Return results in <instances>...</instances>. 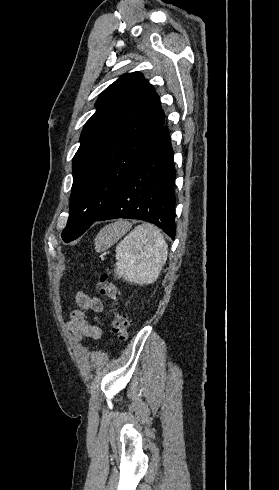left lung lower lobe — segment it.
I'll list each match as a JSON object with an SVG mask.
<instances>
[{
	"instance_id": "obj_1",
	"label": "left lung lower lobe",
	"mask_w": 279,
	"mask_h": 490,
	"mask_svg": "<svg viewBox=\"0 0 279 490\" xmlns=\"http://www.w3.org/2000/svg\"><path fill=\"white\" fill-rule=\"evenodd\" d=\"M175 169L168 129L163 126L122 182L97 221L128 218L155 224L175 238Z\"/></svg>"
}]
</instances>
